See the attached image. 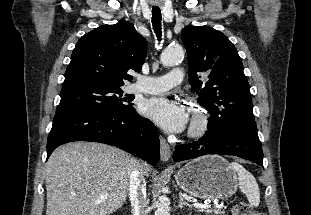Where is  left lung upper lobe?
Here are the masks:
<instances>
[{
  "instance_id": "left-lung-upper-lobe-1",
  "label": "left lung upper lobe",
  "mask_w": 311,
  "mask_h": 215,
  "mask_svg": "<svg viewBox=\"0 0 311 215\" xmlns=\"http://www.w3.org/2000/svg\"><path fill=\"white\" fill-rule=\"evenodd\" d=\"M182 40L192 91L211 115L208 126L235 119L254 120L249 83L233 43L208 26L185 27Z\"/></svg>"
}]
</instances>
